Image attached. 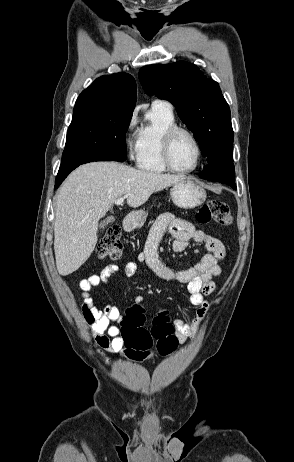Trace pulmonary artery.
<instances>
[{
  "mask_svg": "<svg viewBox=\"0 0 294 462\" xmlns=\"http://www.w3.org/2000/svg\"><path fill=\"white\" fill-rule=\"evenodd\" d=\"M153 104H162V105H165V106L169 107L170 109H172L171 104L168 103V102H166V101L155 100V101L153 102Z\"/></svg>",
  "mask_w": 294,
  "mask_h": 462,
  "instance_id": "e3ab8cb5",
  "label": "pulmonary artery"
}]
</instances>
